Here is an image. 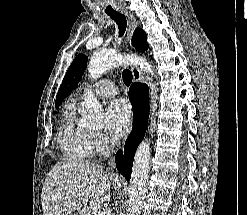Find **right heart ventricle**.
<instances>
[{
	"mask_svg": "<svg viewBox=\"0 0 247 215\" xmlns=\"http://www.w3.org/2000/svg\"><path fill=\"white\" fill-rule=\"evenodd\" d=\"M78 106L68 103L57 133V142L64 157L73 162L89 161L94 153L93 134L76 121Z\"/></svg>",
	"mask_w": 247,
	"mask_h": 215,
	"instance_id": "e07e8e85",
	"label": "right heart ventricle"
}]
</instances>
